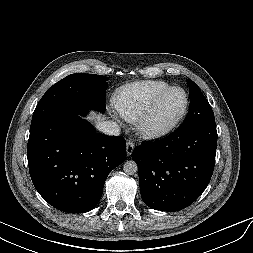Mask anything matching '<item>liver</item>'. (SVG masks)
<instances>
[{
	"label": "liver",
	"instance_id": "obj_1",
	"mask_svg": "<svg viewBox=\"0 0 253 253\" xmlns=\"http://www.w3.org/2000/svg\"><path fill=\"white\" fill-rule=\"evenodd\" d=\"M88 119L91 120V121L94 120L97 124H98L101 120H103V119H102V116H101L100 114L96 115V114H94V113H92V116H89Z\"/></svg>",
	"mask_w": 253,
	"mask_h": 253
}]
</instances>
